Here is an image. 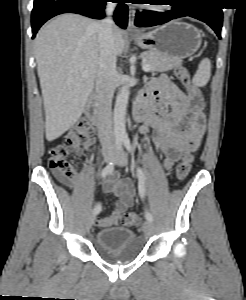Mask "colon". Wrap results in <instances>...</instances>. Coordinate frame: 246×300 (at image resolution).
Listing matches in <instances>:
<instances>
[{
  "label": "colon",
  "instance_id": "1",
  "mask_svg": "<svg viewBox=\"0 0 246 300\" xmlns=\"http://www.w3.org/2000/svg\"><path fill=\"white\" fill-rule=\"evenodd\" d=\"M175 75L186 88L192 102L197 108L203 106V99L199 90L193 86L188 69L184 66L175 68ZM92 134V127L87 121L78 123L68 134L66 140L53 147L48 152L47 164L51 171L61 178L72 179L75 177V170L69 160L71 153L82 150L88 143ZM193 162L191 152L184 153L175 169L177 180H184L190 173ZM122 222L126 226H135L140 223V218L135 213H125Z\"/></svg>",
  "mask_w": 246,
  "mask_h": 300
}]
</instances>
